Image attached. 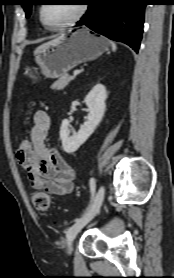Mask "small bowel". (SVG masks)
<instances>
[{
  "label": "small bowel",
  "mask_w": 174,
  "mask_h": 278,
  "mask_svg": "<svg viewBox=\"0 0 174 278\" xmlns=\"http://www.w3.org/2000/svg\"><path fill=\"white\" fill-rule=\"evenodd\" d=\"M50 125L49 114L37 111L30 131L32 148L25 153L17 151L16 158L33 189L61 196L73 191L75 171L56 149L46 145Z\"/></svg>",
  "instance_id": "obj_1"
}]
</instances>
